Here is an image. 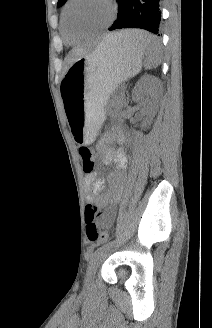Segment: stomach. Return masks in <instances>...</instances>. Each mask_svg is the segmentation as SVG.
<instances>
[{"mask_svg": "<svg viewBox=\"0 0 212 328\" xmlns=\"http://www.w3.org/2000/svg\"><path fill=\"white\" fill-rule=\"evenodd\" d=\"M118 40L114 34L105 37L94 51L74 62L61 81L66 120L78 143L95 139L109 97L141 70L145 52L124 47Z\"/></svg>", "mask_w": 212, "mask_h": 328, "instance_id": "obj_1", "label": "stomach"}]
</instances>
